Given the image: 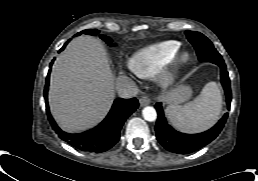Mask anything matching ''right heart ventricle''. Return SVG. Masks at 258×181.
I'll list each match as a JSON object with an SVG mask.
<instances>
[{
  "instance_id": "obj_1",
  "label": "right heart ventricle",
  "mask_w": 258,
  "mask_h": 181,
  "mask_svg": "<svg viewBox=\"0 0 258 181\" xmlns=\"http://www.w3.org/2000/svg\"><path fill=\"white\" fill-rule=\"evenodd\" d=\"M179 48L180 43L173 40L150 44L137 50L128 65L136 75L151 77L175 58Z\"/></svg>"
}]
</instances>
